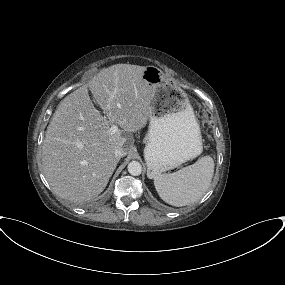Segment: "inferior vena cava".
<instances>
[{"instance_id":"1","label":"inferior vena cava","mask_w":285,"mask_h":285,"mask_svg":"<svg viewBox=\"0 0 285 285\" xmlns=\"http://www.w3.org/2000/svg\"><path fill=\"white\" fill-rule=\"evenodd\" d=\"M114 154L117 158H121L126 155L125 151L121 147H117L114 151Z\"/></svg>"}]
</instances>
